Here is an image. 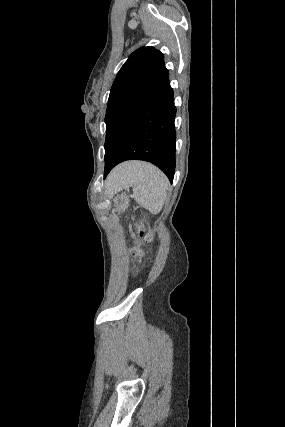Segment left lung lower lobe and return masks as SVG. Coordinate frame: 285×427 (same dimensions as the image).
<instances>
[{
  "label": "left lung lower lobe",
  "mask_w": 285,
  "mask_h": 427,
  "mask_svg": "<svg viewBox=\"0 0 285 427\" xmlns=\"http://www.w3.org/2000/svg\"><path fill=\"white\" fill-rule=\"evenodd\" d=\"M173 89L169 79L138 112L121 135L106 175L126 160H144L159 167L172 182L176 132Z\"/></svg>",
  "instance_id": "obj_1"
}]
</instances>
